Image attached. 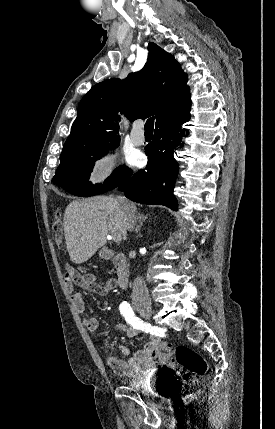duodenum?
I'll return each instance as SVG.
<instances>
[{
	"label": "duodenum",
	"mask_w": 275,
	"mask_h": 429,
	"mask_svg": "<svg viewBox=\"0 0 275 429\" xmlns=\"http://www.w3.org/2000/svg\"><path fill=\"white\" fill-rule=\"evenodd\" d=\"M103 256L106 259H112L118 275L117 284L120 288H125L128 281V261L125 255L122 253H115L109 249H104Z\"/></svg>",
	"instance_id": "1"
}]
</instances>
